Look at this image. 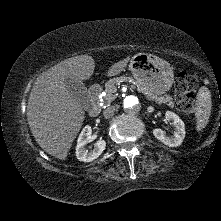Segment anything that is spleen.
<instances>
[{
  "instance_id": "obj_1",
  "label": "spleen",
  "mask_w": 221,
  "mask_h": 221,
  "mask_svg": "<svg viewBox=\"0 0 221 221\" xmlns=\"http://www.w3.org/2000/svg\"><path fill=\"white\" fill-rule=\"evenodd\" d=\"M211 113V95L207 87H201L197 94L195 109L196 130L201 131L208 123Z\"/></svg>"
}]
</instances>
